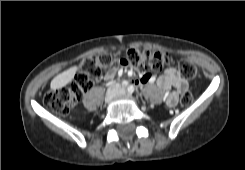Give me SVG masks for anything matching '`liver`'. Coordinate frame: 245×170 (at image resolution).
<instances>
[{"label": "liver", "mask_w": 245, "mask_h": 170, "mask_svg": "<svg viewBox=\"0 0 245 170\" xmlns=\"http://www.w3.org/2000/svg\"><path fill=\"white\" fill-rule=\"evenodd\" d=\"M76 72L77 66H74L55 76L50 84L51 89L56 90L70 83L73 80Z\"/></svg>", "instance_id": "liver-1"}]
</instances>
